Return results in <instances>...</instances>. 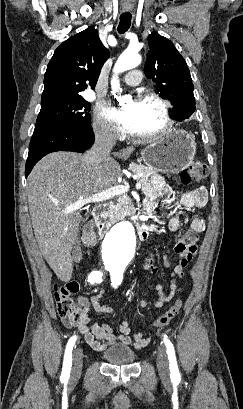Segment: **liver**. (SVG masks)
I'll use <instances>...</instances> for the list:
<instances>
[{
    "mask_svg": "<svg viewBox=\"0 0 243 409\" xmlns=\"http://www.w3.org/2000/svg\"><path fill=\"white\" fill-rule=\"evenodd\" d=\"M134 151L127 147L116 153L126 160ZM85 155L58 151L43 157L27 179L29 212L39 249L53 272L69 281L73 270L71 250L78 236L82 216L65 209L80 198L111 188L121 168L108 156L99 169L88 164Z\"/></svg>",
    "mask_w": 243,
    "mask_h": 409,
    "instance_id": "obj_1",
    "label": "liver"
}]
</instances>
